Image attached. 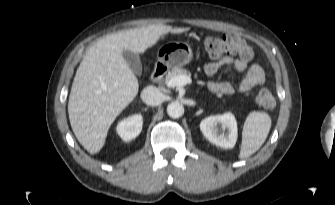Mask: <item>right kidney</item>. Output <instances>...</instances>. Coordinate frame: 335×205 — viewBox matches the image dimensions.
I'll use <instances>...</instances> for the list:
<instances>
[{"label": "right kidney", "instance_id": "right-kidney-1", "mask_svg": "<svg viewBox=\"0 0 335 205\" xmlns=\"http://www.w3.org/2000/svg\"><path fill=\"white\" fill-rule=\"evenodd\" d=\"M142 124V115L135 114L120 121L116 126V132L123 141H130L140 134Z\"/></svg>", "mask_w": 335, "mask_h": 205}]
</instances>
